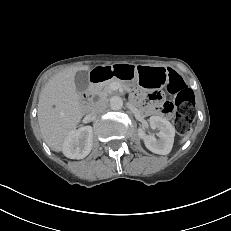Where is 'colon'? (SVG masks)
I'll return each mask as SVG.
<instances>
[{
	"instance_id": "colon-1",
	"label": "colon",
	"mask_w": 231,
	"mask_h": 231,
	"mask_svg": "<svg viewBox=\"0 0 231 231\" xmlns=\"http://www.w3.org/2000/svg\"><path fill=\"white\" fill-rule=\"evenodd\" d=\"M169 81L168 89L174 96V102L158 101L155 109L163 114L174 112L175 129L178 134L184 135L190 129L195 117V95L177 73H172Z\"/></svg>"
}]
</instances>
